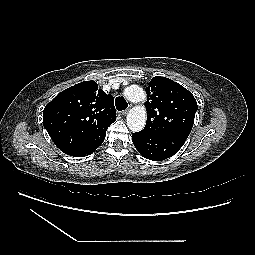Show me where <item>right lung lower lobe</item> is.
Listing matches in <instances>:
<instances>
[{"label":"right lung lower lobe","mask_w":255,"mask_h":255,"mask_svg":"<svg viewBox=\"0 0 255 255\" xmlns=\"http://www.w3.org/2000/svg\"><path fill=\"white\" fill-rule=\"evenodd\" d=\"M106 132L97 137L95 140L91 141L85 150L77 157H85L93 153L104 141Z\"/></svg>","instance_id":"right-lung-lower-lobe-1"}]
</instances>
